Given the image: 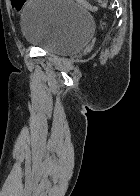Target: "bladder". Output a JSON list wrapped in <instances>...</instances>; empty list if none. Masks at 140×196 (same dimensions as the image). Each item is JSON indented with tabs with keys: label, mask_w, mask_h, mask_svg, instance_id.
Instances as JSON below:
<instances>
[{
	"label": "bladder",
	"mask_w": 140,
	"mask_h": 196,
	"mask_svg": "<svg viewBox=\"0 0 140 196\" xmlns=\"http://www.w3.org/2000/svg\"><path fill=\"white\" fill-rule=\"evenodd\" d=\"M21 29L28 44L68 55L87 45L93 20L90 11L74 0H30L21 14Z\"/></svg>",
	"instance_id": "31cf9c89"
}]
</instances>
